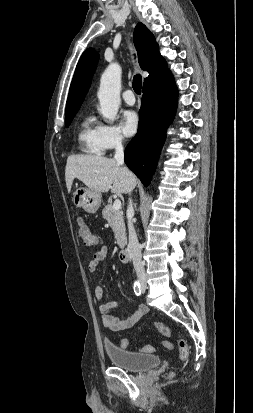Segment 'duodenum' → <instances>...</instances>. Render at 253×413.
<instances>
[{"label":"duodenum","mask_w":253,"mask_h":413,"mask_svg":"<svg viewBox=\"0 0 253 413\" xmlns=\"http://www.w3.org/2000/svg\"><path fill=\"white\" fill-rule=\"evenodd\" d=\"M130 259V252L127 248H122L119 251V260L123 263H127Z\"/></svg>","instance_id":"410a0bca"}]
</instances>
